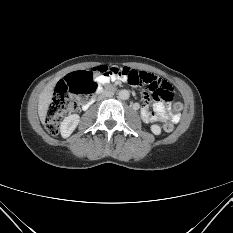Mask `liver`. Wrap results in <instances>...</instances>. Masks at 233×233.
Segmentation results:
<instances>
[{"label":"liver","mask_w":233,"mask_h":233,"mask_svg":"<svg viewBox=\"0 0 233 233\" xmlns=\"http://www.w3.org/2000/svg\"><path fill=\"white\" fill-rule=\"evenodd\" d=\"M58 78L49 82L41 94L39 95V101H38V115L42 123L45 122V118L47 115V111L49 108L50 103L52 102L53 97V91L55 84L57 82Z\"/></svg>","instance_id":"obj_1"}]
</instances>
